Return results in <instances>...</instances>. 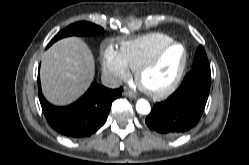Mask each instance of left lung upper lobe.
<instances>
[{"label":"left lung upper lobe","mask_w":249,"mask_h":165,"mask_svg":"<svg viewBox=\"0 0 249 165\" xmlns=\"http://www.w3.org/2000/svg\"><path fill=\"white\" fill-rule=\"evenodd\" d=\"M200 69L210 71V65L207 59V55L202 46H199L193 61L192 70Z\"/></svg>","instance_id":"left-lung-upper-lobe-1"}]
</instances>
